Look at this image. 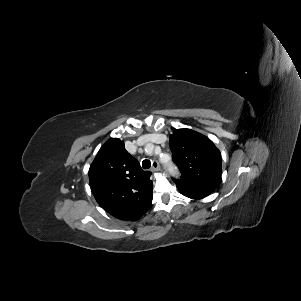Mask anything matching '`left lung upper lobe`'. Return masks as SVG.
I'll list each match as a JSON object with an SVG mask.
<instances>
[{
    "mask_svg": "<svg viewBox=\"0 0 301 301\" xmlns=\"http://www.w3.org/2000/svg\"><path fill=\"white\" fill-rule=\"evenodd\" d=\"M173 161L181 172L174 179L179 190L211 194L221 178V154L206 136L177 129L170 136Z\"/></svg>",
    "mask_w": 301,
    "mask_h": 301,
    "instance_id": "obj_1",
    "label": "left lung upper lobe"
}]
</instances>
